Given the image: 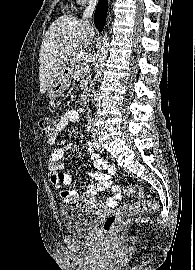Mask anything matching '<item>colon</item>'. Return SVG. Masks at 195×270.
Here are the masks:
<instances>
[{
  "instance_id": "1",
  "label": "colon",
  "mask_w": 195,
  "mask_h": 270,
  "mask_svg": "<svg viewBox=\"0 0 195 270\" xmlns=\"http://www.w3.org/2000/svg\"><path fill=\"white\" fill-rule=\"evenodd\" d=\"M58 106L57 101L51 100L48 104L50 110ZM41 132L46 136H51L55 131V121L51 117H43L39 122ZM123 192L127 195L142 196V190L136 186H125ZM158 204L155 201H138L134 204L124 205L109 214L102 223V230L106 234H111L116 226L124 219L136 213H153L157 210Z\"/></svg>"
}]
</instances>
